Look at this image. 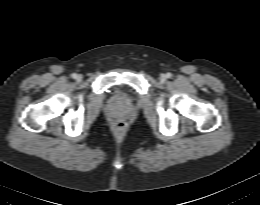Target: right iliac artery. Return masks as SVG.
Returning <instances> with one entry per match:
<instances>
[{"mask_svg":"<svg viewBox=\"0 0 260 205\" xmlns=\"http://www.w3.org/2000/svg\"><path fill=\"white\" fill-rule=\"evenodd\" d=\"M71 77L75 79V78L77 77V74H76V73H73V74L71 75Z\"/></svg>","mask_w":260,"mask_h":205,"instance_id":"82829eb1","label":"right iliac artery"}]
</instances>
